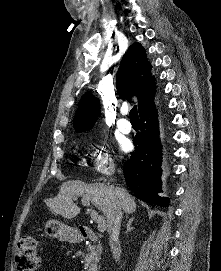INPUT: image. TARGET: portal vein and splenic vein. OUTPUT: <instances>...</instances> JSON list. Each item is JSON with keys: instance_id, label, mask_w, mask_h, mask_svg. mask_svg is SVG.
<instances>
[{"instance_id": "portal-vein-and-splenic-vein-1", "label": "portal vein and splenic vein", "mask_w": 221, "mask_h": 271, "mask_svg": "<svg viewBox=\"0 0 221 271\" xmlns=\"http://www.w3.org/2000/svg\"><path fill=\"white\" fill-rule=\"evenodd\" d=\"M96 221L98 223L97 227H98L99 231H105L106 219H100V217H97Z\"/></svg>"}]
</instances>
